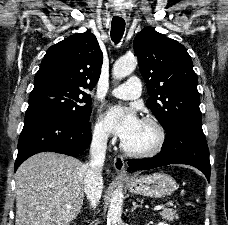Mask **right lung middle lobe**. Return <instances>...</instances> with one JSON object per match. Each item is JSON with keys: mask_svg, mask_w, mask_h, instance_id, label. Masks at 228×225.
<instances>
[{"mask_svg": "<svg viewBox=\"0 0 228 225\" xmlns=\"http://www.w3.org/2000/svg\"><path fill=\"white\" fill-rule=\"evenodd\" d=\"M91 98L81 88L47 82L34 85L29 97V106L25 117L55 113L88 122L91 114Z\"/></svg>", "mask_w": 228, "mask_h": 225, "instance_id": "1", "label": "right lung middle lobe"}]
</instances>
